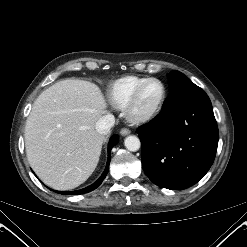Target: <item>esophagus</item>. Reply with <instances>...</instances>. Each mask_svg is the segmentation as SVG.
I'll list each match as a JSON object with an SVG mask.
<instances>
[{"label":"esophagus","instance_id":"1","mask_svg":"<svg viewBox=\"0 0 247 247\" xmlns=\"http://www.w3.org/2000/svg\"><path fill=\"white\" fill-rule=\"evenodd\" d=\"M120 133L122 136H126V135L130 134V130L127 128H122Z\"/></svg>","mask_w":247,"mask_h":247}]
</instances>
